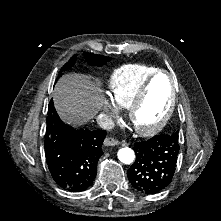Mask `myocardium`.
Returning <instances> with one entry per match:
<instances>
[{
	"label": "myocardium",
	"mask_w": 221,
	"mask_h": 221,
	"mask_svg": "<svg viewBox=\"0 0 221 221\" xmlns=\"http://www.w3.org/2000/svg\"><path fill=\"white\" fill-rule=\"evenodd\" d=\"M162 74L168 76L170 79V82H171V99H170L169 107H168L165 115L163 116V118L157 124H155L153 126H139L135 122V116H136L137 112L139 111V109L141 108V106L144 104V102L147 98L149 89H150L151 85L153 84L154 80L159 75H162ZM174 83H175L174 77L169 71H167L165 69H158L139 88L133 101L128 106L130 122L139 134H141L143 136H151V135H154V134L160 132L165 127V125L169 121V119L175 109V105H176V91H175Z\"/></svg>",
	"instance_id": "1"
}]
</instances>
